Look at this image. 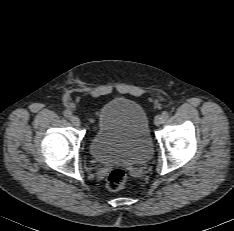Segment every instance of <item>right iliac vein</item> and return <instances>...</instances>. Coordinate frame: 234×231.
<instances>
[{
    "label": "right iliac vein",
    "mask_w": 234,
    "mask_h": 231,
    "mask_svg": "<svg viewBox=\"0 0 234 231\" xmlns=\"http://www.w3.org/2000/svg\"><path fill=\"white\" fill-rule=\"evenodd\" d=\"M70 121L76 127H79L81 124L80 119L77 116H71Z\"/></svg>",
    "instance_id": "63e3f726"
}]
</instances>
